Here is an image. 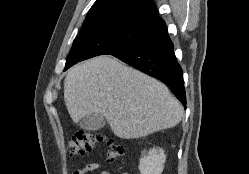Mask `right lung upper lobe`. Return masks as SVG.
I'll return each mask as SVG.
<instances>
[{"label": "right lung upper lobe", "mask_w": 249, "mask_h": 174, "mask_svg": "<svg viewBox=\"0 0 249 174\" xmlns=\"http://www.w3.org/2000/svg\"><path fill=\"white\" fill-rule=\"evenodd\" d=\"M161 21L153 0H97L89 10L81 31L121 23L150 27Z\"/></svg>", "instance_id": "right-lung-upper-lobe-1"}]
</instances>
